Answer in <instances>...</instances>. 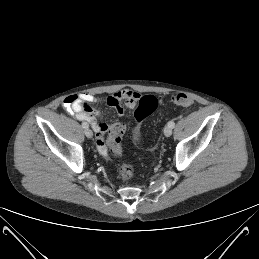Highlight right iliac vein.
<instances>
[{
  "instance_id": "right-iliac-vein-1",
  "label": "right iliac vein",
  "mask_w": 259,
  "mask_h": 259,
  "mask_svg": "<svg viewBox=\"0 0 259 259\" xmlns=\"http://www.w3.org/2000/svg\"><path fill=\"white\" fill-rule=\"evenodd\" d=\"M85 135H86L88 138H92V137H93V132L91 131V129L86 128V129H85Z\"/></svg>"
}]
</instances>
